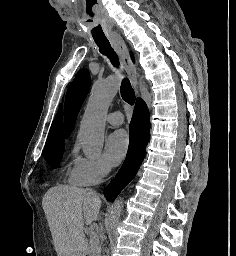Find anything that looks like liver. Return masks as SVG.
<instances>
[{
    "label": "liver",
    "instance_id": "liver-1",
    "mask_svg": "<svg viewBox=\"0 0 236 256\" xmlns=\"http://www.w3.org/2000/svg\"><path fill=\"white\" fill-rule=\"evenodd\" d=\"M42 204L57 256H85L84 226L97 220L101 200L84 188L55 186L46 192Z\"/></svg>",
    "mask_w": 236,
    "mask_h": 256
}]
</instances>
